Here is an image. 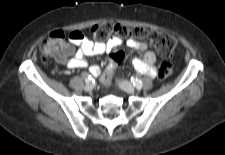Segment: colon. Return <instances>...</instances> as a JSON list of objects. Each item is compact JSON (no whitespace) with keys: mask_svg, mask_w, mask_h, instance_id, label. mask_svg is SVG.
<instances>
[{"mask_svg":"<svg viewBox=\"0 0 225 155\" xmlns=\"http://www.w3.org/2000/svg\"><path fill=\"white\" fill-rule=\"evenodd\" d=\"M86 35H89L98 42H104L111 38L118 40H124L126 38H148L151 45L162 55H170L174 53L177 47L176 39L170 34L160 31H147L143 28H136L130 30L127 27L114 24L111 22H102L96 24L85 31ZM71 34L62 30L52 32L49 37L41 45V58L43 61H47L49 58L63 59L71 52ZM123 60L121 53H115L110 56L109 62L100 75L102 87L104 89H110L113 77V73L118 71L120 62ZM174 67L171 63L166 62L161 65L159 69V78L167 79L172 75Z\"/></svg>","mask_w":225,"mask_h":155,"instance_id":"colon-1","label":"colon"}]
</instances>
